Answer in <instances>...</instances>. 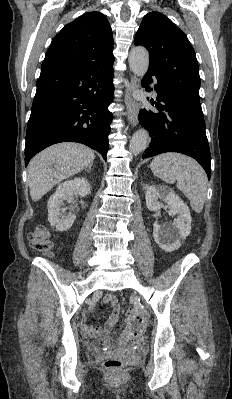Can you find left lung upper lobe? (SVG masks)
I'll list each match as a JSON object with an SVG mask.
<instances>
[{
	"instance_id": "obj_1",
	"label": "left lung upper lobe",
	"mask_w": 232,
	"mask_h": 399,
	"mask_svg": "<svg viewBox=\"0 0 232 399\" xmlns=\"http://www.w3.org/2000/svg\"><path fill=\"white\" fill-rule=\"evenodd\" d=\"M134 43L149 51L148 70L203 115L199 101V67L187 36L165 15L151 12L144 16Z\"/></svg>"
}]
</instances>
